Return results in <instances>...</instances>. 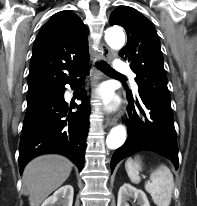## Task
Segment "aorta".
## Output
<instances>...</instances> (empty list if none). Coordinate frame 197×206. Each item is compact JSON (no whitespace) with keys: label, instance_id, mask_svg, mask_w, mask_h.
Listing matches in <instances>:
<instances>
[{"label":"aorta","instance_id":"aorta-1","mask_svg":"<svg viewBox=\"0 0 197 206\" xmlns=\"http://www.w3.org/2000/svg\"><path fill=\"white\" fill-rule=\"evenodd\" d=\"M105 40L112 49L119 50L125 43V35L118 27L109 28L105 32ZM125 140L126 129L124 126L118 125L111 129L106 139V145L109 149H117L124 144Z\"/></svg>","mask_w":197,"mask_h":206}]
</instances>
